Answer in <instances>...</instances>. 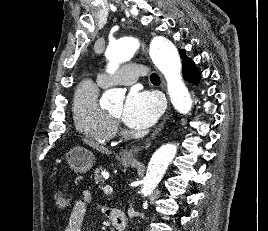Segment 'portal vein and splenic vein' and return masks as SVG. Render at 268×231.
<instances>
[{"mask_svg":"<svg viewBox=\"0 0 268 231\" xmlns=\"http://www.w3.org/2000/svg\"><path fill=\"white\" fill-rule=\"evenodd\" d=\"M103 191L105 194L108 195V194H111L113 192V188L111 185L107 184V185H105Z\"/></svg>","mask_w":268,"mask_h":231,"instance_id":"obj_1","label":"portal vein and splenic vein"}]
</instances>
